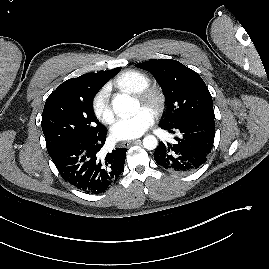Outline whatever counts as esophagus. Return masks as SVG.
I'll return each mask as SVG.
<instances>
[{"label": "esophagus", "instance_id": "34e87169", "mask_svg": "<svg viewBox=\"0 0 269 269\" xmlns=\"http://www.w3.org/2000/svg\"><path fill=\"white\" fill-rule=\"evenodd\" d=\"M140 142H141L140 139H136V140H132V141H124V142H122V146L128 147L131 144H136V143H140Z\"/></svg>", "mask_w": 269, "mask_h": 269}]
</instances>
